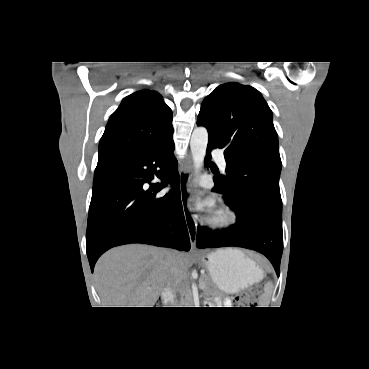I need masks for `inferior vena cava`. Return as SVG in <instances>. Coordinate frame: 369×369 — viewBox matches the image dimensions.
Instances as JSON below:
<instances>
[{
    "mask_svg": "<svg viewBox=\"0 0 369 369\" xmlns=\"http://www.w3.org/2000/svg\"><path fill=\"white\" fill-rule=\"evenodd\" d=\"M173 261V257L171 255H167V263L171 264Z\"/></svg>",
    "mask_w": 369,
    "mask_h": 369,
    "instance_id": "602c4592",
    "label": "inferior vena cava"
}]
</instances>
